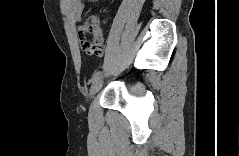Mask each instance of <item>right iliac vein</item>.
I'll return each mask as SVG.
<instances>
[{
	"mask_svg": "<svg viewBox=\"0 0 239 156\" xmlns=\"http://www.w3.org/2000/svg\"><path fill=\"white\" fill-rule=\"evenodd\" d=\"M103 84H104V78L103 77L96 80L93 83V85L91 86L89 95L90 96L95 95L102 88Z\"/></svg>",
	"mask_w": 239,
	"mask_h": 156,
	"instance_id": "right-iliac-vein-1",
	"label": "right iliac vein"
}]
</instances>
